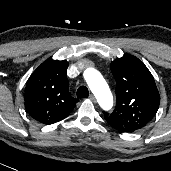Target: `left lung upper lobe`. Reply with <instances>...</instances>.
<instances>
[{
  "instance_id": "left-lung-upper-lobe-1",
  "label": "left lung upper lobe",
  "mask_w": 171,
  "mask_h": 171,
  "mask_svg": "<svg viewBox=\"0 0 171 171\" xmlns=\"http://www.w3.org/2000/svg\"><path fill=\"white\" fill-rule=\"evenodd\" d=\"M117 82L116 107L104 112L105 120L116 130H138L156 115L160 95L148 68L135 56L118 58L111 63Z\"/></svg>"
}]
</instances>
